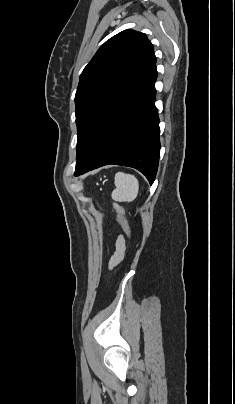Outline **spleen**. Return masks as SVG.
<instances>
[{
    "label": "spleen",
    "instance_id": "obj_1",
    "mask_svg": "<svg viewBox=\"0 0 235 404\" xmlns=\"http://www.w3.org/2000/svg\"><path fill=\"white\" fill-rule=\"evenodd\" d=\"M114 183L116 189L111 194L114 201L131 202L137 197L139 183L134 175L118 172Z\"/></svg>",
    "mask_w": 235,
    "mask_h": 404
}]
</instances>
